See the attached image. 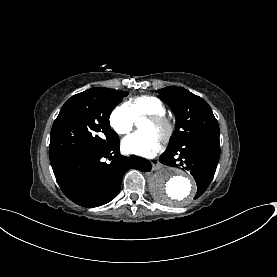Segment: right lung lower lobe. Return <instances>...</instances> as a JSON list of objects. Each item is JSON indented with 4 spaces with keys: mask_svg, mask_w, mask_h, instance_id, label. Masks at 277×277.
Returning <instances> with one entry per match:
<instances>
[{
    "mask_svg": "<svg viewBox=\"0 0 277 277\" xmlns=\"http://www.w3.org/2000/svg\"><path fill=\"white\" fill-rule=\"evenodd\" d=\"M119 153L118 141L104 149L70 152L50 162L63 193L74 203L92 208L117 196L123 175L129 169L151 170L148 160Z\"/></svg>",
    "mask_w": 277,
    "mask_h": 277,
    "instance_id": "98d812e1",
    "label": "right lung lower lobe"
}]
</instances>
